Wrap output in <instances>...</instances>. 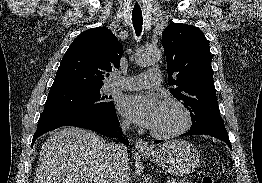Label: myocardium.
<instances>
[{
	"mask_svg": "<svg viewBox=\"0 0 262 183\" xmlns=\"http://www.w3.org/2000/svg\"><path fill=\"white\" fill-rule=\"evenodd\" d=\"M162 105H174V106L178 107L184 115V123L179 129H177L173 132H170V133H166V134L157 133V132L151 130L150 134L154 138L160 139V140H168V139L178 137L181 134H183V133H185L186 131L189 130V128L191 127V124H192V115H191L189 108L183 102H181L178 99L169 98V99L164 100L162 102Z\"/></svg>",
	"mask_w": 262,
	"mask_h": 183,
	"instance_id": "myocardium-1",
	"label": "myocardium"
}]
</instances>
